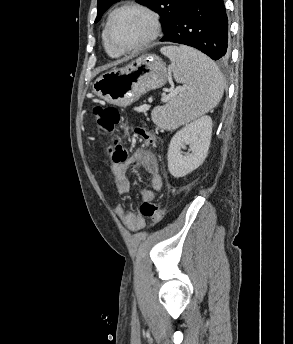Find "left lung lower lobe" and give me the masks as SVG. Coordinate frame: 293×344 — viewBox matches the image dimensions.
I'll return each instance as SVG.
<instances>
[{"instance_id":"0a47b994","label":"left lung lower lobe","mask_w":293,"mask_h":344,"mask_svg":"<svg viewBox=\"0 0 293 344\" xmlns=\"http://www.w3.org/2000/svg\"><path fill=\"white\" fill-rule=\"evenodd\" d=\"M160 41L191 46L213 60L226 61L228 19L223 0H184L174 24Z\"/></svg>"}]
</instances>
